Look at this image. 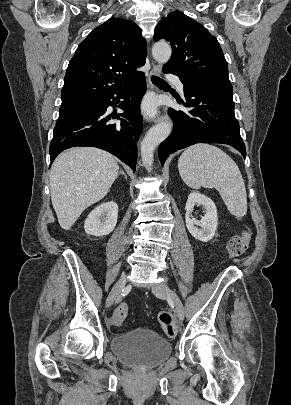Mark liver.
<instances>
[{
  "label": "liver",
  "mask_w": 291,
  "mask_h": 405,
  "mask_svg": "<svg viewBox=\"0 0 291 405\" xmlns=\"http://www.w3.org/2000/svg\"><path fill=\"white\" fill-rule=\"evenodd\" d=\"M118 170L117 159L98 148L76 147L56 158L50 170V190L62 229H70L86 208L108 193Z\"/></svg>",
  "instance_id": "obj_1"
}]
</instances>
